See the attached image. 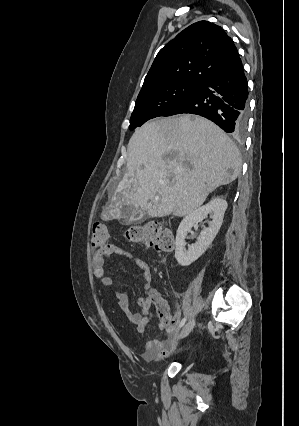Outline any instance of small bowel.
I'll return each instance as SVG.
<instances>
[{
    "label": "small bowel",
    "instance_id": "obj_1",
    "mask_svg": "<svg viewBox=\"0 0 299 426\" xmlns=\"http://www.w3.org/2000/svg\"><path fill=\"white\" fill-rule=\"evenodd\" d=\"M110 254H115L121 259L132 260L141 270L142 277L145 281L144 288L146 290V296L142 301V311H133L129 305L128 295L122 291L117 292L115 295L119 308L124 312L129 322L136 326L137 332L143 334L149 322V308L151 305H154L159 318L158 328L164 333L163 338L149 340L145 344L142 357L147 360H152L167 356L168 352L166 351V347L171 346L173 343L175 329L179 322L181 312L177 310L173 315L170 313L168 302L152 285V271L146 261L135 257L130 252L114 244L112 245ZM92 268L94 276L101 280L104 287L113 285L114 279L106 272L103 255L97 252L93 254Z\"/></svg>",
    "mask_w": 299,
    "mask_h": 426
}]
</instances>
